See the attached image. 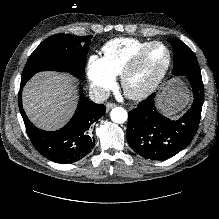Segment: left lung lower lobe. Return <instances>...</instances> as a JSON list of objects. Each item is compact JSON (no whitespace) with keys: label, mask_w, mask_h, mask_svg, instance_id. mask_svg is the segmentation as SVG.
Instances as JSON below:
<instances>
[{"label":"left lung lower lobe","mask_w":219,"mask_h":219,"mask_svg":"<svg viewBox=\"0 0 219 219\" xmlns=\"http://www.w3.org/2000/svg\"><path fill=\"white\" fill-rule=\"evenodd\" d=\"M192 87L194 102L188 112L177 120H170L157 112L155 94L129 112L127 141L141 156L152 160H165L183 150L194 137L204 101V87L199 71H185ZM178 75V74H177Z\"/></svg>","instance_id":"obj_1"}]
</instances>
